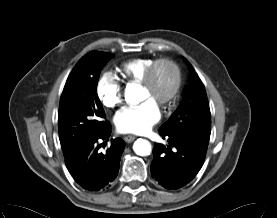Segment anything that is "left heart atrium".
<instances>
[{"mask_svg":"<svg viewBox=\"0 0 277 218\" xmlns=\"http://www.w3.org/2000/svg\"><path fill=\"white\" fill-rule=\"evenodd\" d=\"M159 111L153 100L122 109L117 116L118 128L122 131H141L150 127L158 118Z\"/></svg>","mask_w":277,"mask_h":218,"instance_id":"39dd6f15","label":"left heart atrium"}]
</instances>
